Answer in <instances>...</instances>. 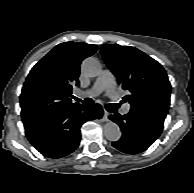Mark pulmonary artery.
I'll list each match as a JSON object with an SVG mask.
<instances>
[{
	"mask_svg": "<svg viewBox=\"0 0 194 193\" xmlns=\"http://www.w3.org/2000/svg\"><path fill=\"white\" fill-rule=\"evenodd\" d=\"M102 91H106L108 96H113L115 92V80L113 74L109 70H104L97 78L93 87L88 91H80L78 95H98ZM123 114H128L130 111V105H124L121 109Z\"/></svg>",
	"mask_w": 194,
	"mask_h": 193,
	"instance_id": "pulmonary-artery-1",
	"label": "pulmonary artery"
}]
</instances>
